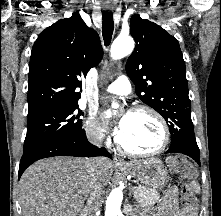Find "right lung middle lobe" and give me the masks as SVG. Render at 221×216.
Listing matches in <instances>:
<instances>
[{"mask_svg":"<svg viewBox=\"0 0 221 216\" xmlns=\"http://www.w3.org/2000/svg\"><path fill=\"white\" fill-rule=\"evenodd\" d=\"M78 104L45 110L28 116L27 134L23 153L53 140L81 132L83 114Z\"/></svg>","mask_w":221,"mask_h":216,"instance_id":"obj_1","label":"right lung middle lobe"}]
</instances>
